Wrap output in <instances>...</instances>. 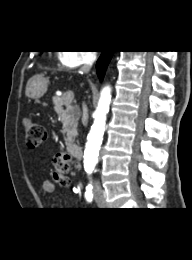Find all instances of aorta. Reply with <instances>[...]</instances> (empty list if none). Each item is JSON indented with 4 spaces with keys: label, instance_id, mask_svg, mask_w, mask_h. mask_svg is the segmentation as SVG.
I'll list each match as a JSON object with an SVG mask.
<instances>
[{
    "label": "aorta",
    "instance_id": "1",
    "mask_svg": "<svg viewBox=\"0 0 192 260\" xmlns=\"http://www.w3.org/2000/svg\"><path fill=\"white\" fill-rule=\"evenodd\" d=\"M110 102L111 87L105 86L100 93L98 105L94 112V122L87 136V142L85 145L84 169L88 174L93 172L99 160V151L103 140Z\"/></svg>",
    "mask_w": 192,
    "mask_h": 260
}]
</instances>
